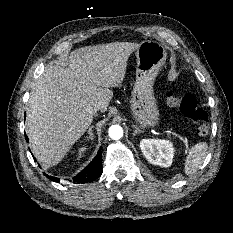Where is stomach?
Returning a JSON list of instances; mask_svg holds the SVG:
<instances>
[{
	"instance_id": "0dacf381",
	"label": "stomach",
	"mask_w": 233,
	"mask_h": 233,
	"mask_svg": "<svg viewBox=\"0 0 233 233\" xmlns=\"http://www.w3.org/2000/svg\"><path fill=\"white\" fill-rule=\"evenodd\" d=\"M166 57L164 46L156 41H143L136 49V79L131 93L130 109L133 119L143 129L159 125L160 113L153 84Z\"/></svg>"
}]
</instances>
